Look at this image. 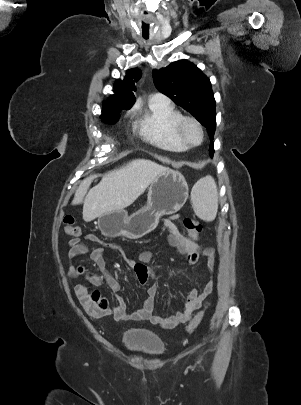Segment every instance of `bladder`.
<instances>
[{
	"mask_svg": "<svg viewBox=\"0 0 301 405\" xmlns=\"http://www.w3.org/2000/svg\"><path fill=\"white\" fill-rule=\"evenodd\" d=\"M122 342L127 350L135 353L158 356L164 351V344L160 337L147 329L131 328L126 330Z\"/></svg>",
	"mask_w": 301,
	"mask_h": 405,
	"instance_id": "1",
	"label": "bladder"
}]
</instances>
